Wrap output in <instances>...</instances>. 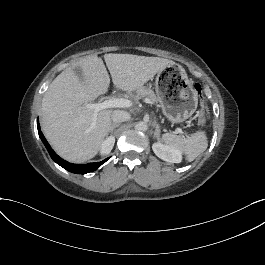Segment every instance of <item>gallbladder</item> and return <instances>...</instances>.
I'll use <instances>...</instances> for the list:
<instances>
[{"label":"gallbladder","mask_w":265,"mask_h":265,"mask_svg":"<svg viewBox=\"0 0 265 265\" xmlns=\"http://www.w3.org/2000/svg\"><path fill=\"white\" fill-rule=\"evenodd\" d=\"M75 74L79 77L80 80H83V72L80 67L74 69Z\"/></svg>","instance_id":"1"}]
</instances>
